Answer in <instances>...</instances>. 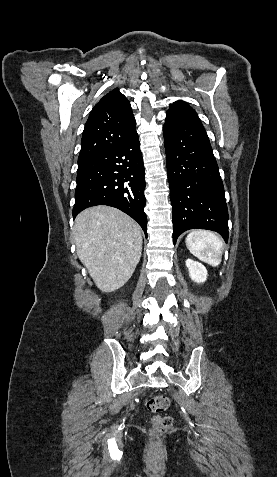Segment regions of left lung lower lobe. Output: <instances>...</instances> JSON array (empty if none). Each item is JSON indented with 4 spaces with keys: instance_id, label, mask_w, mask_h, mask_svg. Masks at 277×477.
Wrapping results in <instances>:
<instances>
[{
    "instance_id": "left-lung-lower-lobe-1",
    "label": "left lung lower lobe",
    "mask_w": 277,
    "mask_h": 477,
    "mask_svg": "<svg viewBox=\"0 0 277 477\" xmlns=\"http://www.w3.org/2000/svg\"><path fill=\"white\" fill-rule=\"evenodd\" d=\"M172 204L173 242L186 230L218 232L228 242V210L219 168L202 124L163 126Z\"/></svg>"
}]
</instances>
